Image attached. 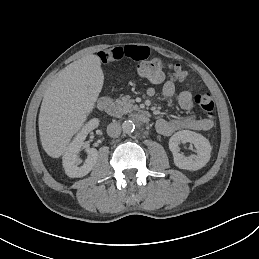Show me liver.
<instances>
[{"label": "liver", "mask_w": 259, "mask_h": 259, "mask_svg": "<svg viewBox=\"0 0 259 259\" xmlns=\"http://www.w3.org/2000/svg\"><path fill=\"white\" fill-rule=\"evenodd\" d=\"M98 55L84 56L59 72L47 87L38 127L45 153L59 159L92 114L102 91L104 74Z\"/></svg>", "instance_id": "1"}]
</instances>
